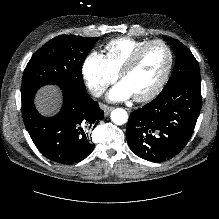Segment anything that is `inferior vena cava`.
<instances>
[{
  "label": "inferior vena cava",
  "instance_id": "inferior-vena-cava-1",
  "mask_svg": "<svg viewBox=\"0 0 219 219\" xmlns=\"http://www.w3.org/2000/svg\"><path fill=\"white\" fill-rule=\"evenodd\" d=\"M105 89L101 86H96L94 89H92V94L95 97H100L104 93Z\"/></svg>",
  "mask_w": 219,
  "mask_h": 219
}]
</instances>
